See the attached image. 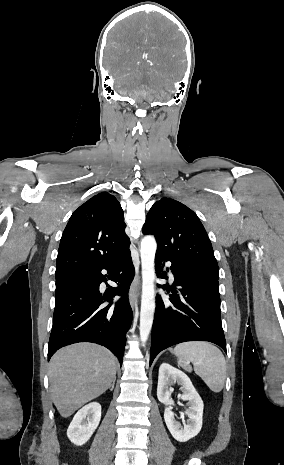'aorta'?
<instances>
[{
	"mask_svg": "<svg viewBox=\"0 0 284 465\" xmlns=\"http://www.w3.org/2000/svg\"><path fill=\"white\" fill-rule=\"evenodd\" d=\"M157 249L153 236H145L141 241L140 255L142 266V298L140 311V340L144 345L152 328L155 311V267Z\"/></svg>",
	"mask_w": 284,
	"mask_h": 465,
	"instance_id": "aorta-1",
	"label": "aorta"
}]
</instances>
